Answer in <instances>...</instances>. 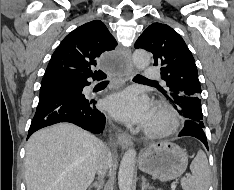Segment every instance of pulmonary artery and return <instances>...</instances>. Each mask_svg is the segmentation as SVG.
<instances>
[{"label":"pulmonary artery","mask_w":234,"mask_h":190,"mask_svg":"<svg viewBox=\"0 0 234 190\" xmlns=\"http://www.w3.org/2000/svg\"><path fill=\"white\" fill-rule=\"evenodd\" d=\"M144 73H145L146 78H158L159 77L158 69L153 66L145 67Z\"/></svg>","instance_id":"obj_1"}]
</instances>
